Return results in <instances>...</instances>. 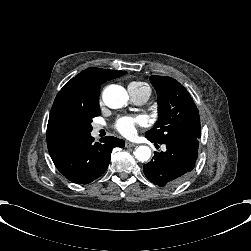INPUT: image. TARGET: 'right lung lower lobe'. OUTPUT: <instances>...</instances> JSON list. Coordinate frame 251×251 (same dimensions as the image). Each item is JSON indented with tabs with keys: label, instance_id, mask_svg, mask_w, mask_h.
I'll return each mask as SVG.
<instances>
[{
	"label": "right lung lower lobe",
	"instance_id": "1",
	"mask_svg": "<svg viewBox=\"0 0 251 251\" xmlns=\"http://www.w3.org/2000/svg\"><path fill=\"white\" fill-rule=\"evenodd\" d=\"M103 143H93L89 134L65 152L51 157L56 168L73 183L87 184L99 178L107 169L112 149L124 147L125 142L112 136Z\"/></svg>",
	"mask_w": 251,
	"mask_h": 251
}]
</instances>
